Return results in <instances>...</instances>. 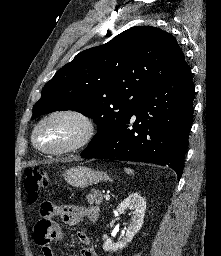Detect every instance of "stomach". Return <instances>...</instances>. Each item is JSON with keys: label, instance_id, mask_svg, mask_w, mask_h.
I'll list each match as a JSON object with an SVG mask.
<instances>
[{"label": "stomach", "instance_id": "stomach-1", "mask_svg": "<svg viewBox=\"0 0 221 256\" xmlns=\"http://www.w3.org/2000/svg\"><path fill=\"white\" fill-rule=\"evenodd\" d=\"M63 176L69 185L76 188H85L101 181L110 180L107 173L85 166L71 167L64 172Z\"/></svg>", "mask_w": 221, "mask_h": 256}]
</instances>
